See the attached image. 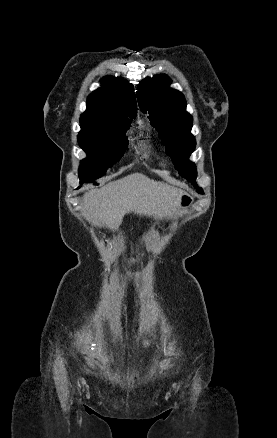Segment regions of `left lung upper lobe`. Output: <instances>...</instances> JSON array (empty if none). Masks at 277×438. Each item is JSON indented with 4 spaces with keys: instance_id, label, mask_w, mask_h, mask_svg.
<instances>
[{
    "instance_id": "left-lung-upper-lobe-1",
    "label": "left lung upper lobe",
    "mask_w": 277,
    "mask_h": 438,
    "mask_svg": "<svg viewBox=\"0 0 277 438\" xmlns=\"http://www.w3.org/2000/svg\"><path fill=\"white\" fill-rule=\"evenodd\" d=\"M171 79L166 74L145 78L138 86L137 99L142 112H149V120L160 133L162 144L172 158L179 174L196 184V166L189 161L196 141L191 134L193 118L186 112V100L178 90L169 88ZM198 193H203L198 188Z\"/></svg>"
}]
</instances>
